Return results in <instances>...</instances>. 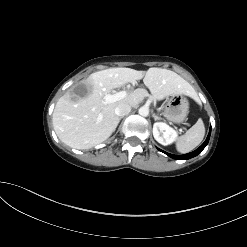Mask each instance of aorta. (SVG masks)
Segmentation results:
<instances>
[{"mask_svg": "<svg viewBox=\"0 0 247 247\" xmlns=\"http://www.w3.org/2000/svg\"><path fill=\"white\" fill-rule=\"evenodd\" d=\"M139 115L143 116V117H147L149 115V108L148 107H140L139 111H138Z\"/></svg>", "mask_w": 247, "mask_h": 247, "instance_id": "762f6f07", "label": "aorta"}]
</instances>
